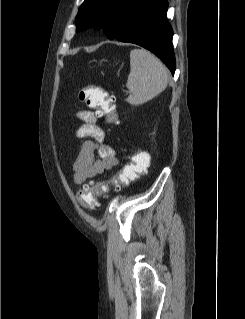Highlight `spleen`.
<instances>
[{"label": "spleen", "mask_w": 245, "mask_h": 319, "mask_svg": "<svg viewBox=\"0 0 245 319\" xmlns=\"http://www.w3.org/2000/svg\"><path fill=\"white\" fill-rule=\"evenodd\" d=\"M168 80V69L155 55L145 49L131 50L126 83L131 92L128 103L141 105L150 101L166 89Z\"/></svg>", "instance_id": "spleen-1"}]
</instances>
